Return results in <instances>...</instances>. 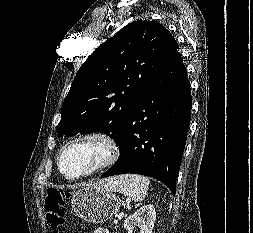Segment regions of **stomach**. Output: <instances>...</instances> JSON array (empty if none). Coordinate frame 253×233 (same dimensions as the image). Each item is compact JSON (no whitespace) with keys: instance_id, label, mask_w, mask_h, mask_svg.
<instances>
[{"instance_id":"stomach-1","label":"stomach","mask_w":253,"mask_h":233,"mask_svg":"<svg viewBox=\"0 0 253 233\" xmlns=\"http://www.w3.org/2000/svg\"><path fill=\"white\" fill-rule=\"evenodd\" d=\"M72 208L82 220L101 223L115 215L122 200L100 184H89L72 195Z\"/></svg>"}]
</instances>
